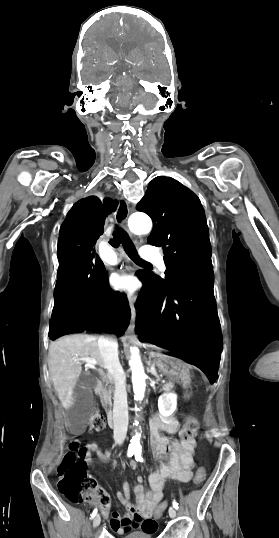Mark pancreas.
I'll return each mask as SVG.
<instances>
[{
  "mask_svg": "<svg viewBox=\"0 0 279 538\" xmlns=\"http://www.w3.org/2000/svg\"><path fill=\"white\" fill-rule=\"evenodd\" d=\"M174 384H175V381L173 379L163 380V382L159 384V387L161 389H169ZM112 392H113L112 388H108V390L107 388H105V390H102L101 394H99L102 404H110L111 406Z\"/></svg>",
  "mask_w": 279,
  "mask_h": 538,
  "instance_id": "obj_1",
  "label": "pancreas"
}]
</instances>
